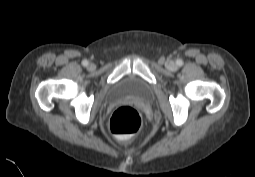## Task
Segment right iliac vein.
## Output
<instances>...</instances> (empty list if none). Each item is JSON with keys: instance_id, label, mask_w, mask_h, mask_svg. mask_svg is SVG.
<instances>
[{"instance_id": "63e3f726", "label": "right iliac vein", "mask_w": 255, "mask_h": 177, "mask_svg": "<svg viewBox=\"0 0 255 177\" xmlns=\"http://www.w3.org/2000/svg\"><path fill=\"white\" fill-rule=\"evenodd\" d=\"M88 69L91 70V71L94 70L95 65L93 63L89 64Z\"/></svg>"}]
</instances>
